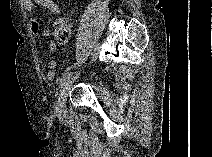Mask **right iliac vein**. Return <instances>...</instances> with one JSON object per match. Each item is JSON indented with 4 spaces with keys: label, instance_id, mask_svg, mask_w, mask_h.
<instances>
[{
    "label": "right iliac vein",
    "instance_id": "63e3f726",
    "mask_svg": "<svg viewBox=\"0 0 212 157\" xmlns=\"http://www.w3.org/2000/svg\"><path fill=\"white\" fill-rule=\"evenodd\" d=\"M72 84L71 80H67L63 85L62 88L59 92V96H58V103H57V108H56V112L58 114H62L64 112V108H65V103H66V97H67V92L70 88Z\"/></svg>",
    "mask_w": 212,
    "mask_h": 157
}]
</instances>
